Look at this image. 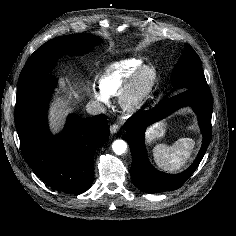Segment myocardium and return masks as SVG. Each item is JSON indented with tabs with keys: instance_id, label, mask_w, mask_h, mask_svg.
Masks as SVG:
<instances>
[{
	"instance_id": "obj_1",
	"label": "myocardium",
	"mask_w": 236,
	"mask_h": 236,
	"mask_svg": "<svg viewBox=\"0 0 236 236\" xmlns=\"http://www.w3.org/2000/svg\"><path fill=\"white\" fill-rule=\"evenodd\" d=\"M148 74L145 86H141L142 77ZM159 82V72L152 64L142 65L129 79L120 94L121 107L128 113L142 109L150 100Z\"/></svg>"
}]
</instances>
